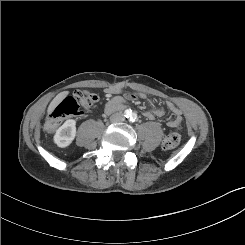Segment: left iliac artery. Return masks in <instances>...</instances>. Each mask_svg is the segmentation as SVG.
<instances>
[{
  "mask_svg": "<svg viewBox=\"0 0 245 245\" xmlns=\"http://www.w3.org/2000/svg\"><path fill=\"white\" fill-rule=\"evenodd\" d=\"M130 120L132 122H135L137 120V115L135 113H132L131 116H130Z\"/></svg>",
  "mask_w": 245,
  "mask_h": 245,
  "instance_id": "obj_1",
  "label": "left iliac artery"
}]
</instances>
